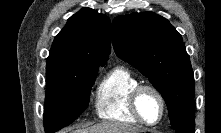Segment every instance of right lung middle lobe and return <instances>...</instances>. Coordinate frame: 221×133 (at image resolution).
Masks as SVG:
<instances>
[{
	"label": "right lung middle lobe",
	"mask_w": 221,
	"mask_h": 133,
	"mask_svg": "<svg viewBox=\"0 0 221 133\" xmlns=\"http://www.w3.org/2000/svg\"><path fill=\"white\" fill-rule=\"evenodd\" d=\"M104 63L77 65L46 73L44 127L54 133L68 126L88 107L91 86Z\"/></svg>",
	"instance_id": "right-lung-middle-lobe-1"
}]
</instances>
